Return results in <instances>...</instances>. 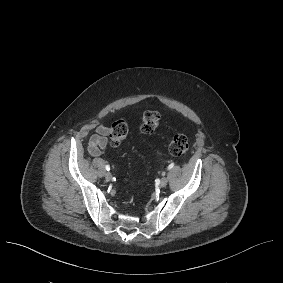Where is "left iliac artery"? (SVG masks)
I'll list each match as a JSON object with an SVG mask.
<instances>
[{"label": "left iliac artery", "mask_w": 283, "mask_h": 283, "mask_svg": "<svg viewBox=\"0 0 283 283\" xmlns=\"http://www.w3.org/2000/svg\"><path fill=\"white\" fill-rule=\"evenodd\" d=\"M174 167V163H171L169 166H168V170L172 169Z\"/></svg>", "instance_id": "1"}]
</instances>
